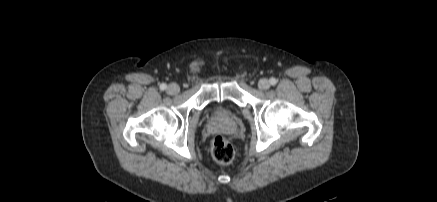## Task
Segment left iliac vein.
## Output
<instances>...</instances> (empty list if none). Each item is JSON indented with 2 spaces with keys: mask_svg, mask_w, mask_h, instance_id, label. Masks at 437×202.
<instances>
[{
  "mask_svg": "<svg viewBox=\"0 0 437 202\" xmlns=\"http://www.w3.org/2000/svg\"><path fill=\"white\" fill-rule=\"evenodd\" d=\"M258 87H259V89H261V90H267V89H269V87H270V82L267 80V79H261V80H259V82H258Z\"/></svg>",
  "mask_w": 437,
  "mask_h": 202,
  "instance_id": "4c4485c4",
  "label": "left iliac vein"
}]
</instances>
